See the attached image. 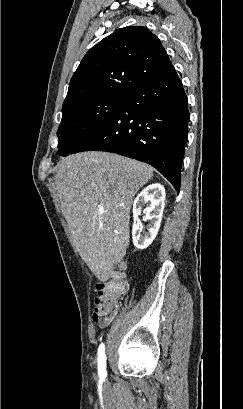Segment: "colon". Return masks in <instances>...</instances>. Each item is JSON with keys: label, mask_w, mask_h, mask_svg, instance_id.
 Instances as JSON below:
<instances>
[{"label": "colon", "mask_w": 243, "mask_h": 409, "mask_svg": "<svg viewBox=\"0 0 243 409\" xmlns=\"http://www.w3.org/2000/svg\"><path fill=\"white\" fill-rule=\"evenodd\" d=\"M124 267V264L120 263L109 281L96 285L97 296L93 318L99 325H106L114 318L120 299L127 291L128 284L124 276Z\"/></svg>", "instance_id": "1"}]
</instances>
